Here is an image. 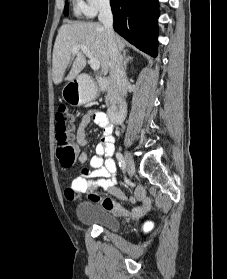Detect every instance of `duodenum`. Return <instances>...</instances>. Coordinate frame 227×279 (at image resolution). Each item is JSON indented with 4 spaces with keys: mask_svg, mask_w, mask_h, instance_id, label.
Wrapping results in <instances>:
<instances>
[{
    "mask_svg": "<svg viewBox=\"0 0 227 279\" xmlns=\"http://www.w3.org/2000/svg\"><path fill=\"white\" fill-rule=\"evenodd\" d=\"M110 84V80L103 77L101 78V81L99 83L100 86H105ZM94 100V98H90L88 100H85L82 102V104H89ZM126 108H127V103L125 101H119L118 104L109 110V118L110 120L115 123V124H120L126 115Z\"/></svg>",
    "mask_w": 227,
    "mask_h": 279,
    "instance_id": "obj_1",
    "label": "duodenum"
}]
</instances>
